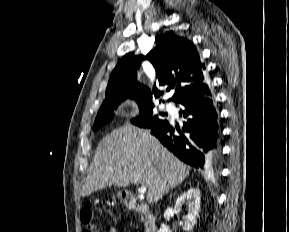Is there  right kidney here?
I'll return each mask as SVG.
<instances>
[{"instance_id": "right-kidney-1", "label": "right kidney", "mask_w": 289, "mask_h": 232, "mask_svg": "<svg viewBox=\"0 0 289 232\" xmlns=\"http://www.w3.org/2000/svg\"><path fill=\"white\" fill-rule=\"evenodd\" d=\"M187 205V214L184 216L183 231H191L195 225L196 217L200 209V190L198 188H190L183 192L175 202V209H180L183 205ZM158 232H171L168 227L163 226Z\"/></svg>"}]
</instances>
